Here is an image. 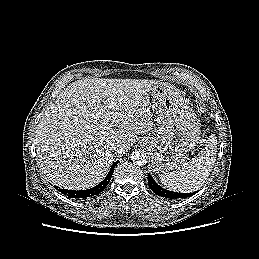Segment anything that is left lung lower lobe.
Masks as SVG:
<instances>
[{"label": "left lung lower lobe", "instance_id": "0a47b994", "mask_svg": "<svg viewBox=\"0 0 259 259\" xmlns=\"http://www.w3.org/2000/svg\"><path fill=\"white\" fill-rule=\"evenodd\" d=\"M148 185L155 194L162 196V197L170 198V199L186 198V197L196 194V192L186 193V194L185 193H176V192H172V191L163 189L154 181V179L152 178V176L150 174L148 175Z\"/></svg>", "mask_w": 259, "mask_h": 259}]
</instances>
